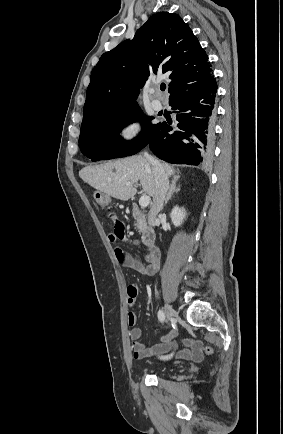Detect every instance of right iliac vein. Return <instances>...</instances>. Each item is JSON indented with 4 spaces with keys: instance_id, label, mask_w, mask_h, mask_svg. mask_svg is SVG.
I'll return each instance as SVG.
<instances>
[{
    "instance_id": "obj_1",
    "label": "right iliac vein",
    "mask_w": 283,
    "mask_h": 434,
    "mask_svg": "<svg viewBox=\"0 0 283 434\" xmlns=\"http://www.w3.org/2000/svg\"><path fill=\"white\" fill-rule=\"evenodd\" d=\"M164 312L168 320H172L177 317L176 312L168 304L164 305Z\"/></svg>"
}]
</instances>
